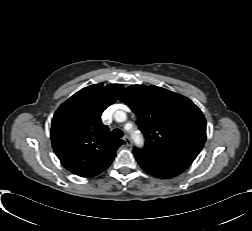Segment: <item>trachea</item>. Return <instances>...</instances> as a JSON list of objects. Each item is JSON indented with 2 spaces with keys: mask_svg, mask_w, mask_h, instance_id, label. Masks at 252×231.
<instances>
[{
  "mask_svg": "<svg viewBox=\"0 0 252 231\" xmlns=\"http://www.w3.org/2000/svg\"><path fill=\"white\" fill-rule=\"evenodd\" d=\"M123 136V132L120 129H114L112 131V137L121 138Z\"/></svg>",
  "mask_w": 252,
  "mask_h": 231,
  "instance_id": "obj_1",
  "label": "trachea"
}]
</instances>
